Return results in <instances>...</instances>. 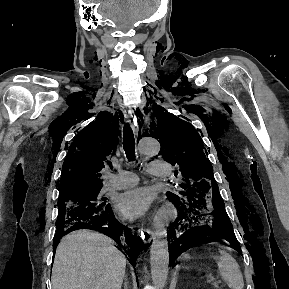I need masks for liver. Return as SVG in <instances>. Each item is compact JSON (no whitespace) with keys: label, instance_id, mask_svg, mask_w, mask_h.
I'll use <instances>...</instances> for the list:
<instances>
[{"label":"liver","instance_id":"6515ba94","mask_svg":"<svg viewBox=\"0 0 289 289\" xmlns=\"http://www.w3.org/2000/svg\"><path fill=\"white\" fill-rule=\"evenodd\" d=\"M126 258L110 238L88 230L66 235L52 268L53 289H121Z\"/></svg>","mask_w":289,"mask_h":289}]
</instances>
